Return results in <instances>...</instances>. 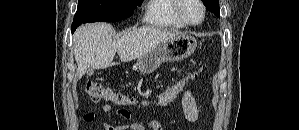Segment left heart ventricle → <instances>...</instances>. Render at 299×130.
I'll return each mask as SVG.
<instances>
[{
	"label": "left heart ventricle",
	"mask_w": 299,
	"mask_h": 130,
	"mask_svg": "<svg viewBox=\"0 0 299 130\" xmlns=\"http://www.w3.org/2000/svg\"><path fill=\"white\" fill-rule=\"evenodd\" d=\"M183 14L192 23H197L201 19V8L195 0H186L183 5Z\"/></svg>",
	"instance_id": "1"
}]
</instances>
